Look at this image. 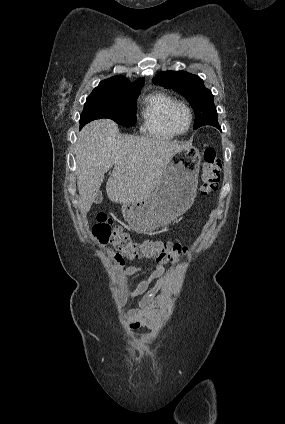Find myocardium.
I'll list each match as a JSON object with an SVG mask.
<instances>
[{
    "label": "myocardium",
    "mask_w": 285,
    "mask_h": 424,
    "mask_svg": "<svg viewBox=\"0 0 285 424\" xmlns=\"http://www.w3.org/2000/svg\"><path fill=\"white\" fill-rule=\"evenodd\" d=\"M178 107H183V108H185V109H186V111L188 112V115H189V124H188V127H187V129H186L185 131H178V130L175 128V126H174V124H173V121H172L173 113H174L175 109H176V108H178ZM193 118H194V115H193L192 108H191V107H190L187 103H185V102H183V101H178V100H176V101H175V102H174V103L170 106V108H169V110H168V112H167V124H168L169 128L171 129V131H172L173 133H175L176 135H183V134L188 133V132L190 131L191 127H192V124H193Z\"/></svg>",
    "instance_id": "1"
}]
</instances>
